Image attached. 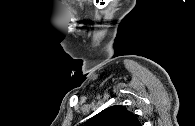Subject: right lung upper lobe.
Listing matches in <instances>:
<instances>
[{
  "instance_id": "1",
  "label": "right lung upper lobe",
  "mask_w": 195,
  "mask_h": 126,
  "mask_svg": "<svg viewBox=\"0 0 195 126\" xmlns=\"http://www.w3.org/2000/svg\"><path fill=\"white\" fill-rule=\"evenodd\" d=\"M84 126H141L137 117L124 106H111L90 118Z\"/></svg>"
}]
</instances>
